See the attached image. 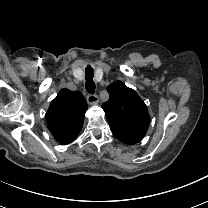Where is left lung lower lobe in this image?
Segmentation results:
<instances>
[{
	"label": "left lung lower lobe",
	"instance_id": "1",
	"mask_svg": "<svg viewBox=\"0 0 208 208\" xmlns=\"http://www.w3.org/2000/svg\"><path fill=\"white\" fill-rule=\"evenodd\" d=\"M112 133L119 140L124 142L125 144H135L141 141L145 134L133 133L128 131H122L117 129H111Z\"/></svg>",
	"mask_w": 208,
	"mask_h": 208
}]
</instances>
